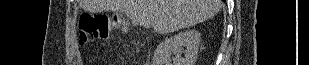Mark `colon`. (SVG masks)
Listing matches in <instances>:
<instances>
[{"instance_id":"obj_1","label":"colon","mask_w":309,"mask_h":65,"mask_svg":"<svg viewBox=\"0 0 309 65\" xmlns=\"http://www.w3.org/2000/svg\"><path fill=\"white\" fill-rule=\"evenodd\" d=\"M114 30L127 35V30L121 28L111 16L82 13L79 17V38L82 45L93 41H104Z\"/></svg>"}]
</instances>
